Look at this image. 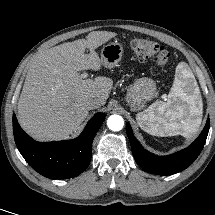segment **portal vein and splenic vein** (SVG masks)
<instances>
[{
	"label": "portal vein and splenic vein",
	"instance_id": "18ae733b",
	"mask_svg": "<svg viewBox=\"0 0 215 215\" xmlns=\"http://www.w3.org/2000/svg\"><path fill=\"white\" fill-rule=\"evenodd\" d=\"M87 76H88V74H87L86 72H84V73L81 74L80 77H81L82 79H85Z\"/></svg>",
	"mask_w": 215,
	"mask_h": 215
}]
</instances>
